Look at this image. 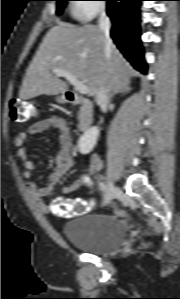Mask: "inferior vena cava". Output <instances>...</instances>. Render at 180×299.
<instances>
[{"instance_id":"inferior-vena-cava-1","label":"inferior vena cava","mask_w":180,"mask_h":299,"mask_svg":"<svg viewBox=\"0 0 180 299\" xmlns=\"http://www.w3.org/2000/svg\"><path fill=\"white\" fill-rule=\"evenodd\" d=\"M98 22H99L100 30L103 31L106 37L107 44L110 45L111 39L109 37V32H110L111 23L104 9L100 11ZM109 97H110L109 90L107 88L100 87L96 95V102L98 104L107 103L109 101Z\"/></svg>"}]
</instances>
